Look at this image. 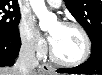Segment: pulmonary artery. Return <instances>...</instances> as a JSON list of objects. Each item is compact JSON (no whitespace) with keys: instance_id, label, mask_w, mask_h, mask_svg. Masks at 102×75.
Here are the masks:
<instances>
[{"instance_id":"e3ab8cb5","label":"pulmonary artery","mask_w":102,"mask_h":75,"mask_svg":"<svg viewBox=\"0 0 102 75\" xmlns=\"http://www.w3.org/2000/svg\"><path fill=\"white\" fill-rule=\"evenodd\" d=\"M47 2H48L51 6L56 7V8L60 7L61 4H62V0H48Z\"/></svg>"}]
</instances>
